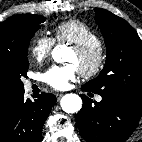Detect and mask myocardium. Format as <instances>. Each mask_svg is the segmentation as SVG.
I'll return each instance as SVG.
<instances>
[{"mask_svg":"<svg viewBox=\"0 0 142 142\" xmlns=\"http://www.w3.org/2000/svg\"><path fill=\"white\" fill-rule=\"evenodd\" d=\"M73 50L81 61L78 70L84 78H92L103 70L106 52L102 45L74 46Z\"/></svg>","mask_w":142,"mask_h":142,"instance_id":"myocardium-1","label":"myocardium"}]
</instances>
